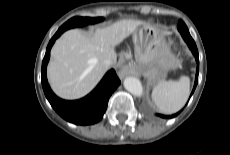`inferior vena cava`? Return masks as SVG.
Returning a JSON list of instances; mask_svg holds the SVG:
<instances>
[{"label": "inferior vena cava", "mask_w": 230, "mask_h": 155, "mask_svg": "<svg viewBox=\"0 0 230 155\" xmlns=\"http://www.w3.org/2000/svg\"><path fill=\"white\" fill-rule=\"evenodd\" d=\"M115 62H116V57H108V58H105L103 61L106 67L113 65Z\"/></svg>", "instance_id": "602c4592"}]
</instances>
